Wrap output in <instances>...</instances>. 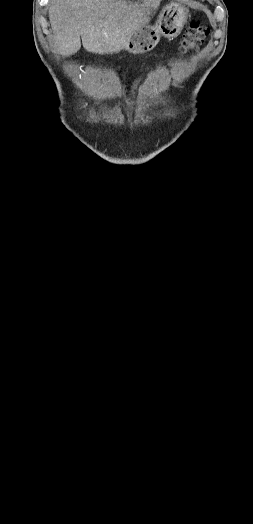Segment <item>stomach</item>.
I'll return each instance as SVG.
<instances>
[{"instance_id":"0dacf381","label":"stomach","mask_w":253,"mask_h":524,"mask_svg":"<svg viewBox=\"0 0 253 524\" xmlns=\"http://www.w3.org/2000/svg\"><path fill=\"white\" fill-rule=\"evenodd\" d=\"M188 14V9L178 3L165 6L154 26L144 25L133 33L125 50L133 54L145 53L157 45L161 36L168 39L177 37L187 21Z\"/></svg>"}]
</instances>
